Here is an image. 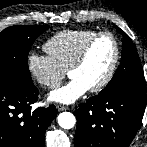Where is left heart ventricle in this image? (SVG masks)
I'll return each instance as SVG.
<instances>
[{"mask_svg": "<svg viewBox=\"0 0 147 147\" xmlns=\"http://www.w3.org/2000/svg\"><path fill=\"white\" fill-rule=\"evenodd\" d=\"M114 44L110 37L99 38L91 47L85 62L72 71L70 78L81 80L88 88L97 85L107 74L113 58Z\"/></svg>", "mask_w": 147, "mask_h": 147, "instance_id": "obj_1", "label": "left heart ventricle"}]
</instances>
